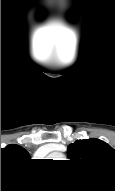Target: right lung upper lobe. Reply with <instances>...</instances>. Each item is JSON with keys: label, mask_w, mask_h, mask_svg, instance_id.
<instances>
[{"label": "right lung upper lobe", "mask_w": 115, "mask_h": 191, "mask_svg": "<svg viewBox=\"0 0 115 191\" xmlns=\"http://www.w3.org/2000/svg\"><path fill=\"white\" fill-rule=\"evenodd\" d=\"M29 158V153L23 147L16 144L7 145L1 148V169L24 165Z\"/></svg>", "instance_id": "1"}]
</instances>
